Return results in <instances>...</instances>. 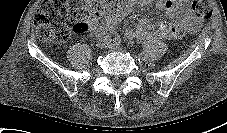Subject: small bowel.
<instances>
[{"label": "small bowel", "instance_id": "obj_1", "mask_svg": "<svg viewBox=\"0 0 227 133\" xmlns=\"http://www.w3.org/2000/svg\"><path fill=\"white\" fill-rule=\"evenodd\" d=\"M125 2L118 12L113 16L112 21L121 20L130 11L131 4L144 5L151 0H131ZM187 0H157V7L164 11L168 22H161L157 28L149 25L148 21H142L135 29L125 31L129 39L139 40H162L178 39L185 34L194 33L200 28V20L189 8L182 9ZM97 34L106 32L102 29H95Z\"/></svg>", "mask_w": 227, "mask_h": 133}]
</instances>
